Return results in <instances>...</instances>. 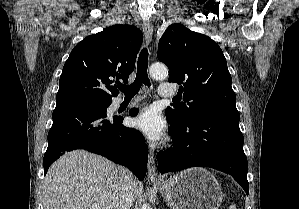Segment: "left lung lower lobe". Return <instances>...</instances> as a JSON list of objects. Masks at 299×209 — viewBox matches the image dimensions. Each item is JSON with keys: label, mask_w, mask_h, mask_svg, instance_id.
<instances>
[{"label": "left lung lower lobe", "mask_w": 299, "mask_h": 209, "mask_svg": "<svg viewBox=\"0 0 299 209\" xmlns=\"http://www.w3.org/2000/svg\"><path fill=\"white\" fill-rule=\"evenodd\" d=\"M239 121L236 105L205 106L186 122L169 121V135L174 145L170 150L159 152L158 171L212 167L230 174L248 195V165Z\"/></svg>", "instance_id": "1"}]
</instances>
